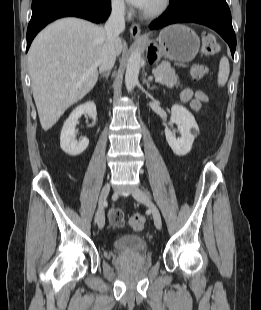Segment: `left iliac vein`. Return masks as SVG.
Returning a JSON list of instances; mask_svg holds the SVG:
<instances>
[{"mask_svg":"<svg viewBox=\"0 0 261 310\" xmlns=\"http://www.w3.org/2000/svg\"><path fill=\"white\" fill-rule=\"evenodd\" d=\"M133 197L147 205L152 213L153 216V220H154V224L156 226L157 229H161L162 227V219H161V215L160 212L158 210V208L156 207V205L151 201V199L148 197V195L141 190L140 188H135L132 192Z\"/></svg>","mask_w":261,"mask_h":310,"instance_id":"obj_1","label":"left iliac vein"}]
</instances>
